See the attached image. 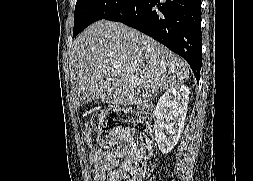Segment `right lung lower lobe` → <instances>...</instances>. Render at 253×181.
<instances>
[{"instance_id": "1", "label": "right lung lower lobe", "mask_w": 253, "mask_h": 181, "mask_svg": "<svg viewBox=\"0 0 253 181\" xmlns=\"http://www.w3.org/2000/svg\"><path fill=\"white\" fill-rule=\"evenodd\" d=\"M201 0H127L105 19L133 27L182 56L199 80Z\"/></svg>"}]
</instances>
